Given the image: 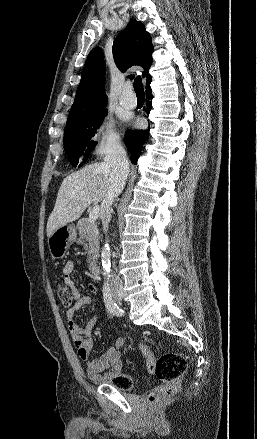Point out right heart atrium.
I'll return each mask as SVG.
<instances>
[{
    "instance_id": "d8ad5b80",
    "label": "right heart atrium",
    "mask_w": 257,
    "mask_h": 439,
    "mask_svg": "<svg viewBox=\"0 0 257 439\" xmlns=\"http://www.w3.org/2000/svg\"><path fill=\"white\" fill-rule=\"evenodd\" d=\"M92 138L95 142V150L98 155L108 153L114 149L120 141V136L111 119H106L99 124L95 128Z\"/></svg>"
}]
</instances>
